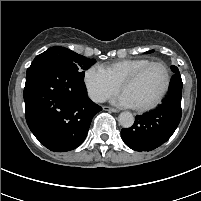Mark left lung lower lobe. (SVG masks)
<instances>
[{"instance_id": "obj_1", "label": "left lung lower lobe", "mask_w": 201, "mask_h": 201, "mask_svg": "<svg viewBox=\"0 0 201 201\" xmlns=\"http://www.w3.org/2000/svg\"><path fill=\"white\" fill-rule=\"evenodd\" d=\"M182 79L177 70L171 78L169 93L156 109L136 116L130 128L122 129L124 143L135 151H151L165 143L181 120Z\"/></svg>"}]
</instances>
